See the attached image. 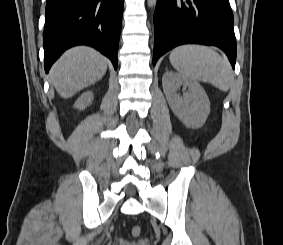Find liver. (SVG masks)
<instances>
[{"instance_id": "obj_1", "label": "liver", "mask_w": 283, "mask_h": 245, "mask_svg": "<svg viewBox=\"0 0 283 245\" xmlns=\"http://www.w3.org/2000/svg\"><path fill=\"white\" fill-rule=\"evenodd\" d=\"M108 60L96 50L79 46L65 52L50 70V81L62 98H70L106 73Z\"/></svg>"}]
</instances>
